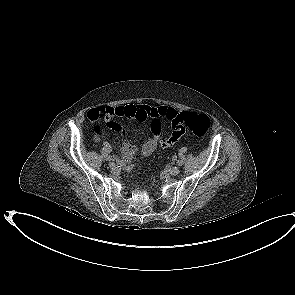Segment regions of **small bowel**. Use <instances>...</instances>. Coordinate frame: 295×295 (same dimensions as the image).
<instances>
[{"label":"small bowel","instance_id":"c3829d8e","mask_svg":"<svg viewBox=\"0 0 295 295\" xmlns=\"http://www.w3.org/2000/svg\"><path fill=\"white\" fill-rule=\"evenodd\" d=\"M183 112H178L175 109L167 106L151 107L141 104H128L124 106L94 108L88 111L87 117L90 121L104 120V125L111 128L113 131H119L122 128V123L119 120H114L112 117H124L128 119H136L145 121L149 119V128L158 146L161 148H169L173 146L180 138L176 123L177 116ZM167 120L171 127L167 135L162 134L163 122ZM157 146V147H158ZM137 152V148L128 142H125L121 147V155L118 158L119 162L130 163Z\"/></svg>","mask_w":295,"mask_h":295}]
</instances>
